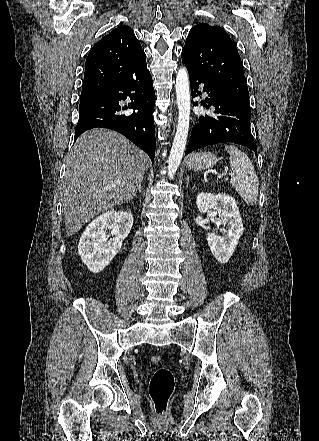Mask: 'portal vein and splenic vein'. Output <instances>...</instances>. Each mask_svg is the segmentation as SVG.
Here are the masks:
<instances>
[{
    "label": "portal vein and splenic vein",
    "mask_w": 319,
    "mask_h": 441,
    "mask_svg": "<svg viewBox=\"0 0 319 441\" xmlns=\"http://www.w3.org/2000/svg\"><path fill=\"white\" fill-rule=\"evenodd\" d=\"M227 174H228V173H227V170H225L222 174L219 175L218 178H221V177H223V176H226ZM229 175H230V176H234L233 173H229ZM117 183H120V181H117Z\"/></svg>",
    "instance_id": "18ae733b"
}]
</instances>
